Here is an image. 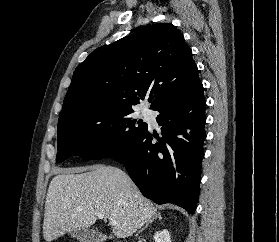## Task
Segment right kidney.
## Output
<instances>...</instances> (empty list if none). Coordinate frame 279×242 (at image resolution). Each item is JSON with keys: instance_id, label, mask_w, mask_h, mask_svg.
I'll return each instance as SVG.
<instances>
[{"instance_id": "obj_1", "label": "right kidney", "mask_w": 279, "mask_h": 242, "mask_svg": "<svg viewBox=\"0 0 279 242\" xmlns=\"http://www.w3.org/2000/svg\"><path fill=\"white\" fill-rule=\"evenodd\" d=\"M154 240L155 242H171L169 232L166 229L161 232H156Z\"/></svg>"}]
</instances>
